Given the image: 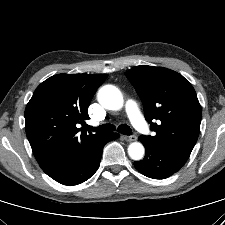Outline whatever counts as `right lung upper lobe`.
Instances as JSON below:
<instances>
[{
  "instance_id": "cb5924a9",
  "label": "right lung upper lobe",
  "mask_w": 225,
  "mask_h": 225,
  "mask_svg": "<svg viewBox=\"0 0 225 225\" xmlns=\"http://www.w3.org/2000/svg\"><path fill=\"white\" fill-rule=\"evenodd\" d=\"M106 74H58L41 83L25 109L33 154L46 168L61 153L88 146L103 134L76 127L89 119L88 105Z\"/></svg>"
}]
</instances>
